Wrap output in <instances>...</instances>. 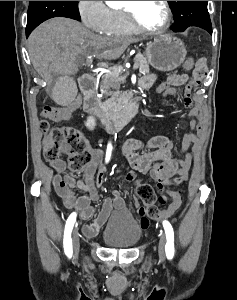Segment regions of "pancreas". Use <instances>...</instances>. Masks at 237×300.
Returning a JSON list of instances; mask_svg holds the SVG:
<instances>
[{"instance_id":"1","label":"pancreas","mask_w":237,"mask_h":300,"mask_svg":"<svg viewBox=\"0 0 237 300\" xmlns=\"http://www.w3.org/2000/svg\"><path fill=\"white\" fill-rule=\"evenodd\" d=\"M135 60L138 62L137 69H139L142 75H147V73H150L148 61L144 55L138 53L134 61ZM110 71L111 73H106V75H103L100 85L101 91H105L107 97H110V99H107L105 103H102V107H104L103 111L106 117H109V119H118L121 105L118 103V95H116L114 91H110V89H116V87H120L123 81L119 79L120 69H118V67H112Z\"/></svg>"}]
</instances>
